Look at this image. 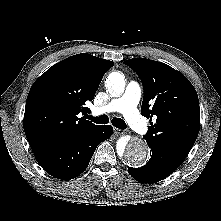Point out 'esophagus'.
<instances>
[{
    "instance_id": "1",
    "label": "esophagus",
    "mask_w": 221,
    "mask_h": 221,
    "mask_svg": "<svg viewBox=\"0 0 221 221\" xmlns=\"http://www.w3.org/2000/svg\"><path fill=\"white\" fill-rule=\"evenodd\" d=\"M114 133L116 135H122L124 133V131L122 129L114 128Z\"/></svg>"
}]
</instances>
